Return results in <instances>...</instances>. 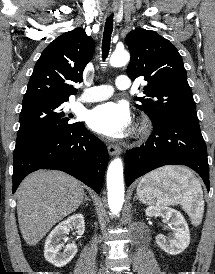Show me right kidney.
I'll return each mask as SVG.
<instances>
[{"label": "right kidney", "instance_id": "ca27d5eb", "mask_svg": "<svg viewBox=\"0 0 215 274\" xmlns=\"http://www.w3.org/2000/svg\"><path fill=\"white\" fill-rule=\"evenodd\" d=\"M75 227L78 235H82L85 231L84 217L82 214H75L67 220L59 223L48 235L45 247L44 257L56 267H63L67 265L76 255L77 246L75 243L66 245L61 244L63 237L69 233L70 228ZM64 247L63 252H61Z\"/></svg>", "mask_w": 215, "mask_h": 274}]
</instances>
